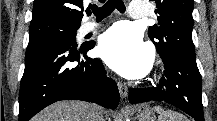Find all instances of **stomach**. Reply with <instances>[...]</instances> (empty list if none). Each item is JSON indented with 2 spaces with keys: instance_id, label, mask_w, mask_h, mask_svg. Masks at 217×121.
<instances>
[{
  "instance_id": "stomach-1",
  "label": "stomach",
  "mask_w": 217,
  "mask_h": 121,
  "mask_svg": "<svg viewBox=\"0 0 217 121\" xmlns=\"http://www.w3.org/2000/svg\"><path fill=\"white\" fill-rule=\"evenodd\" d=\"M135 113L138 121H156V115L148 105H138Z\"/></svg>"
}]
</instances>
